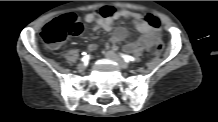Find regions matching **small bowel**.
Returning <instances> with one entry per match:
<instances>
[{"label":"small bowel","instance_id":"small-bowel-1","mask_svg":"<svg viewBox=\"0 0 218 122\" xmlns=\"http://www.w3.org/2000/svg\"><path fill=\"white\" fill-rule=\"evenodd\" d=\"M121 18L131 19L138 32L141 33L139 38L125 46L126 51L135 52L139 49L152 50L155 47V44L160 41L159 28L150 25L146 18L138 12L127 9L117 10L112 6H103L97 12L87 13L84 20L87 23H94V31L102 28L105 31L110 32L113 30L114 22ZM126 36L127 30L124 27H118L114 30L110 43H118L124 40ZM96 49L97 46L95 44H90L88 46L90 52H94Z\"/></svg>","mask_w":218,"mask_h":122}]
</instances>
